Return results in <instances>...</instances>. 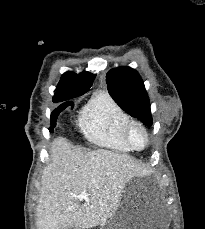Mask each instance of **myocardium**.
Returning <instances> with one entry per match:
<instances>
[{
    "label": "myocardium",
    "instance_id": "1",
    "mask_svg": "<svg viewBox=\"0 0 205 229\" xmlns=\"http://www.w3.org/2000/svg\"><path fill=\"white\" fill-rule=\"evenodd\" d=\"M135 129L140 130L142 132L143 136H144V144L141 147H137L132 141V132ZM124 139H125L126 143L128 144V146L132 150H135V151L144 150L149 145V141H150L149 134H148L147 129L145 128V126L143 124H141L140 122L132 121V120L125 127Z\"/></svg>",
    "mask_w": 205,
    "mask_h": 229
}]
</instances>
